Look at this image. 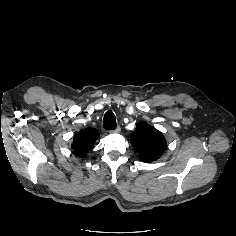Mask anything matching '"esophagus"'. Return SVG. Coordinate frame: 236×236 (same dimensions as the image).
<instances>
[{
  "label": "esophagus",
  "mask_w": 236,
  "mask_h": 236,
  "mask_svg": "<svg viewBox=\"0 0 236 236\" xmlns=\"http://www.w3.org/2000/svg\"><path fill=\"white\" fill-rule=\"evenodd\" d=\"M121 131V128L119 126L116 127V129L112 130V133H119Z\"/></svg>",
  "instance_id": "esophagus-1"
}]
</instances>
